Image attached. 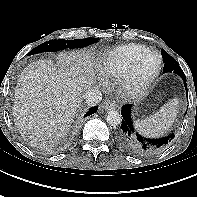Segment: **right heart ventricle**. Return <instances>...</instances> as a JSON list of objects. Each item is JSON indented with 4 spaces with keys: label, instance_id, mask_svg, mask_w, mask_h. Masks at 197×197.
Here are the masks:
<instances>
[{
    "label": "right heart ventricle",
    "instance_id": "obj_1",
    "mask_svg": "<svg viewBox=\"0 0 197 197\" xmlns=\"http://www.w3.org/2000/svg\"><path fill=\"white\" fill-rule=\"evenodd\" d=\"M150 51L144 45L126 44L104 52L98 62V72L105 79H120L133 61Z\"/></svg>",
    "mask_w": 197,
    "mask_h": 197
}]
</instances>
